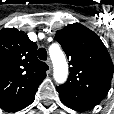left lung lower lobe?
<instances>
[{
	"instance_id": "obj_1",
	"label": "left lung lower lobe",
	"mask_w": 114,
	"mask_h": 114,
	"mask_svg": "<svg viewBox=\"0 0 114 114\" xmlns=\"http://www.w3.org/2000/svg\"><path fill=\"white\" fill-rule=\"evenodd\" d=\"M61 101L68 107L76 111H87L94 108L101 102V98L93 95L84 94L80 92H75L73 90H68L63 87H56Z\"/></svg>"
}]
</instances>
